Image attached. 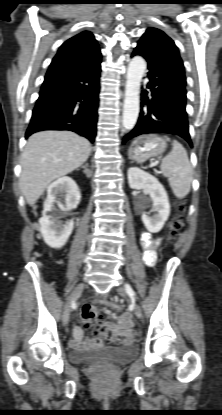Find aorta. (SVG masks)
<instances>
[{"label":"aorta","mask_w":222,"mask_h":415,"mask_svg":"<svg viewBox=\"0 0 222 415\" xmlns=\"http://www.w3.org/2000/svg\"><path fill=\"white\" fill-rule=\"evenodd\" d=\"M146 70V62L141 56H135L129 63L126 77L123 105V127L130 131L136 124L140 109V86Z\"/></svg>","instance_id":"762f6f07"}]
</instances>
